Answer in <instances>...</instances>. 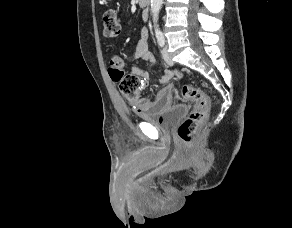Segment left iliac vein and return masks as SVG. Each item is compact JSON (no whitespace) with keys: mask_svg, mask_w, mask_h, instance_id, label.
<instances>
[{"mask_svg":"<svg viewBox=\"0 0 292 228\" xmlns=\"http://www.w3.org/2000/svg\"><path fill=\"white\" fill-rule=\"evenodd\" d=\"M162 55H163V59L165 60V62L168 64V65H173L174 62L172 61L171 57L169 56V53H168V50H167V47H164L162 49Z\"/></svg>","mask_w":292,"mask_h":228,"instance_id":"1","label":"left iliac vein"}]
</instances>
